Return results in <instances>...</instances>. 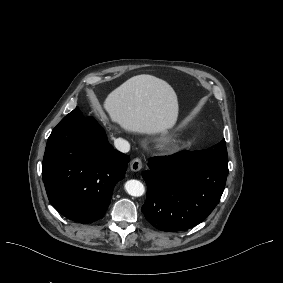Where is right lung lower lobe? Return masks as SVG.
I'll list each match as a JSON object with an SVG mask.
<instances>
[{"instance_id": "1", "label": "right lung lower lobe", "mask_w": 283, "mask_h": 283, "mask_svg": "<svg viewBox=\"0 0 283 283\" xmlns=\"http://www.w3.org/2000/svg\"><path fill=\"white\" fill-rule=\"evenodd\" d=\"M129 156L115 150L93 117L68 114L48 138L42 177L50 203L66 218L91 223L104 216Z\"/></svg>"}]
</instances>
